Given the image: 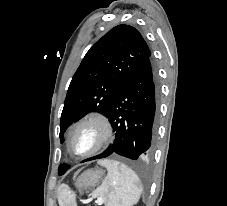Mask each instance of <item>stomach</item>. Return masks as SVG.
Here are the masks:
<instances>
[{"label": "stomach", "mask_w": 227, "mask_h": 206, "mask_svg": "<svg viewBox=\"0 0 227 206\" xmlns=\"http://www.w3.org/2000/svg\"><path fill=\"white\" fill-rule=\"evenodd\" d=\"M104 171L99 168L89 169L83 172L76 181V188L79 191L88 190L100 184Z\"/></svg>", "instance_id": "0dacf381"}]
</instances>
